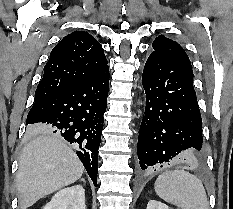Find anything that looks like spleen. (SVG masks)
<instances>
[{
    "mask_svg": "<svg viewBox=\"0 0 233 209\" xmlns=\"http://www.w3.org/2000/svg\"><path fill=\"white\" fill-rule=\"evenodd\" d=\"M156 194L181 209H209L202 182L183 170L166 171L155 181Z\"/></svg>",
    "mask_w": 233,
    "mask_h": 209,
    "instance_id": "spleen-1",
    "label": "spleen"
}]
</instances>
